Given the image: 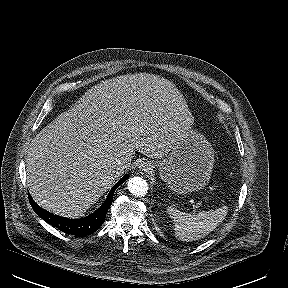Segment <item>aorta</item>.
Wrapping results in <instances>:
<instances>
[{"instance_id":"762f6f07","label":"aorta","mask_w":288,"mask_h":288,"mask_svg":"<svg viewBox=\"0 0 288 288\" xmlns=\"http://www.w3.org/2000/svg\"><path fill=\"white\" fill-rule=\"evenodd\" d=\"M128 190L131 194L137 197L146 195L148 184L145 179L139 176L130 178L127 182Z\"/></svg>"}]
</instances>
